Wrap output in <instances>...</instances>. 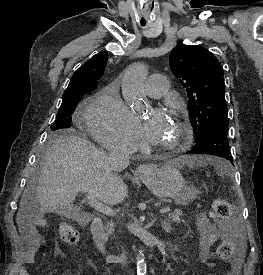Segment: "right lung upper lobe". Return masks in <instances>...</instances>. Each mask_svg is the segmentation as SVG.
I'll list each match as a JSON object with an SVG mask.
<instances>
[{
  "label": "right lung upper lobe",
  "instance_id": "1",
  "mask_svg": "<svg viewBox=\"0 0 263 275\" xmlns=\"http://www.w3.org/2000/svg\"><path fill=\"white\" fill-rule=\"evenodd\" d=\"M107 60V52L98 53L90 58L74 72L64 94L77 90H94L98 86L97 81L103 75Z\"/></svg>",
  "mask_w": 263,
  "mask_h": 275
}]
</instances>
